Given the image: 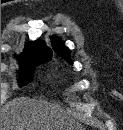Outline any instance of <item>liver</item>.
Listing matches in <instances>:
<instances>
[{
	"label": "liver",
	"mask_w": 123,
	"mask_h": 130,
	"mask_svg": "<svg viewBox=\"0 0 123 130\" xmlns=\"http://www.w3.org/2000/svg\"><path fill=\"white\" fill-rule=\"evenodd\" d=\"M75 128L57 103L20 97L1 114V130H71Z\"/></svg>",
	"instance_id": "6515ba94"
}]
</instances>
